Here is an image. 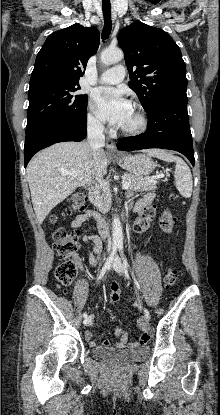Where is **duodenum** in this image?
<instances>
[{
    "mask_svg": "<svg viewBox=\"0 0 220 415\" xmlns=\"http://www.w3.org/2000/svg\"><path fill=\"white\" fill-rule=\"evenodd\" d=\"M86 191L90 194V195H94L97 187L96 184H90L88 186H86ZM98 228H99V235L100 238L102 239H106L109 237L111 230L109 228V225L107 224V222L100 217V219L98 220Z\"/></svg>",
    "mask_w": 220,
    "mask_h": 415,
    "instance_id": "410a0bca",
    "label": "duodenum"
}]
</instances>
